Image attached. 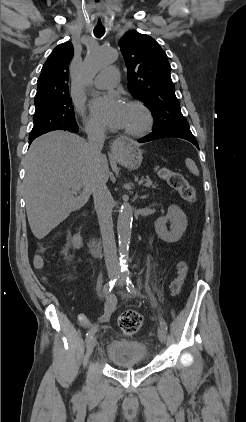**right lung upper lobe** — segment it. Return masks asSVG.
<instances>
[{"instance_id": "right-lung-upper-lobe-1", "label": "right lung upper lobe", "mask_w": 246, "mask_h": 422, "mask_svg": "<svg viewBox=\"0 0 246 422\" xmlns=\"http://www.w3.org/2000/svg\"><path fill=\"white\" fill-rule=\"evenodd\" d=\"M73 53V46L68 41L58 45L48 57L37 81L36 109L69 96L68 68Z\"/></svg>"}]
</instances>
